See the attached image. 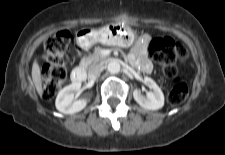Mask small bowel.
<instances>
[{
    "label": "small bowel",
    "instance_id": "obj_1",
    "mask_svg": "<svg viewBox=\"0 0 225 155\" xmlns=\"http://www.w3.org/2000/svg\"><path fill=\"white\" fill-rule=\"evenodd\" d=\"M148 38L141 39L131 50L128 59L132 65L144 73H150L153 69L152 62L147 56Z\"/></svg>",
    "mask_w": 225,
    "mask_h": 155
}]
</instances>
